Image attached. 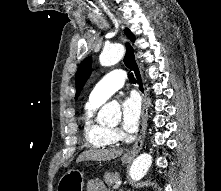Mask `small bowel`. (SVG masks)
<instances>
[{
    "mask_svg": "<svg viewBox=\"0 0 221 191\" xmlns=\"http://www.w3.org/2000/svg\"><path fill=\"white\" fill-rule=\"evenodd\" d=\"M87 191H109L99 179H90L86 185Z\"/></svg>",
    "mask_w": 221,
    "mask_h": 191,
    "instance_id": "c3829d8e",
    "label": "small bowel"
}]
</instances>
